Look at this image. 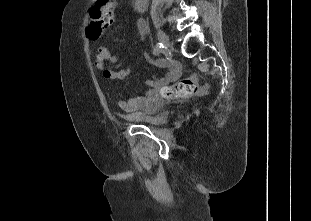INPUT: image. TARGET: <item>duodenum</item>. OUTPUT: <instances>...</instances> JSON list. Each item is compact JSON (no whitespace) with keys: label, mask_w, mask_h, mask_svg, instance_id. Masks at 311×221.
I'll list each match as a JSON object with an SVG mask.
<instances>
[{"label":"duodenum","mask_w":311,"mask_h":221,"mask_svg":"<svg viewBox=\"0 0 311 221\" xmlns=\"http://www.w3.org/2000/svg\"><path fill=\"white\" fill-rule=\"evenodd\" d=\"M148 3L149 0H135L134 1L135 9L138 11L143 10Z\"/></svg>","instance_id":"duodenum-1"}]
</instances>
